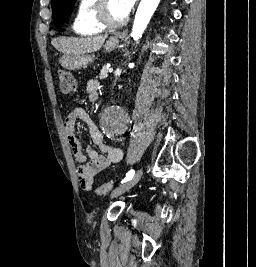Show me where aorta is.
Instances as JSON below:
<instances>
[{
    "instance_id": "obj_1",
    "label": "aorta",
    "mask_w": 256,
    "mask_h": 267,
    "mask_svg": "<svg viewBox=\"0 0 256 267\" xmlns=\"http://www.w3.org/2000/svg\"><path fill=\"white\" fill-rule=\"evenodd\" d=\"M160 0H141L135 14L131 38L139 44ZM104 117H101L103 127H122V122H130V117H123L124 108H103ZM101 133H106L109 143H126V138H111V133H116V128H101Z\"/></svg>"
}]
</instances>
